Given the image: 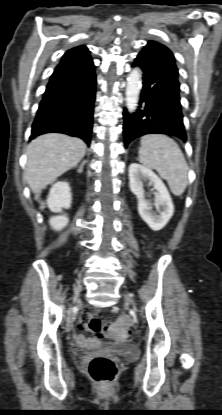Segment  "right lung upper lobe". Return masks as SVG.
Instances as JSON below:
<instances>
[{"label": "right lung upper lobe", "mask_w": 222, "mask_h": 415, "mask_svg": "<svg viewBox=\"0 0 222 415\" xmlns=\"http://www.w3.org/2000/svg\"><path fill=\"white\" fill-rule=\"evenodd\" d=\"M79 52H89L88 49L86 48V46L81 45L75 48H72L70 50H68L65 54H70V53H79Z\"/></svg>", "instance_id": "cb5924a9"}]
</instances>
